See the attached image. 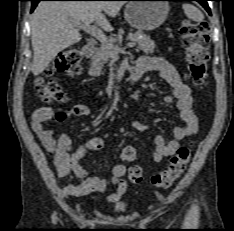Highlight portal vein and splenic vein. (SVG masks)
Returning a JSON list of instances; mask_svg holds the SVG:
<instances>
[{
  "label": "portal vein and splenic vein",
  "mask_w": 234,
  "mask_h": 231,
  "mask_svg": "<svg viewBox=\"0 0 234 231\" xmlns=\"http://www.w3.org/2000/svg\"><path fill=\"white\" fill-rule=\"evenodd\" d=\"M76 27L83 29L85 32L95 37L98 41L102 43V45H105L107 47H112V44L108 41L103 31L99 29L97 26L90 25L88 23H83V24L77 23ZM135 45L136 43L133 41L128 42L125 48H117L114 56H117L119 52L124 51L126 48L134 47Z\"/></svg>",
  "instance_id": "obj_1"
}]
</instances>
